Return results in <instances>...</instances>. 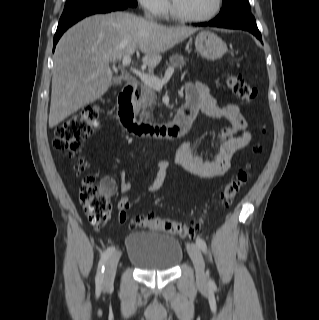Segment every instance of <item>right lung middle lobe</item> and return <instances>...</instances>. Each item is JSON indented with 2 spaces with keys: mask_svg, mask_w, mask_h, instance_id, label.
<instances>
[{
  "mask_svg": "<svg viewBox=\"0 0 319 320\" xmlns=\"http://www.w3.org/2000/svg\"><path fill=\"white\" fill-rule=\"evenodd\" d=\"M105 4H127L130 6H136V0H66L65 8L60 21H64L69 17L87 10L89 8L105 5Z\"/></svg>",
  "mask_w": 319,
  "mask_h": 320,
  "instance_id": "obj_1",
  "label": "right lung middle lobe"
}]
</instances>
